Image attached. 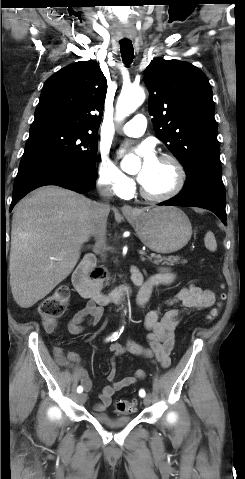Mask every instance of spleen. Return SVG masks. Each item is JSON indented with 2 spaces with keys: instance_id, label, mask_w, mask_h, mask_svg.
I'll list each match as a JSON object with an SVG mask.
<instances>
[{
  "instance_id": "3e777b00",
  "label": "spleen",
  "mask_w": 245,
  "mask_h": 479,
  "mask_svg": "<svg viewBox=\"0 0 245 479\" xmlns=\"http://www.w3.org/2000/svg\"><path fill=\"white\" fill-rule=\"evenodd\" d=\"M205 246L208 250L214 252L217 249V243L214 234L211 231H208L204 238Z\"/></svg>"
}]
</instances>
